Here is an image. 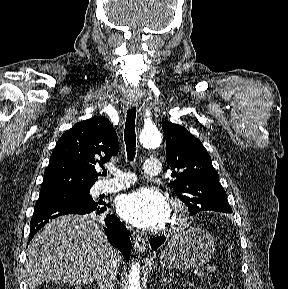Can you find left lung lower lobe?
<instances>
[{
    "instance_id": "obj_1",
    "label": "left lung lower lobe",
    "mask_w": 288,
    "mask_h": 289,
    "mask_svg": "<svg viewBox=\"0 0 288 289\" xmlns=\"http://www.w3.org/2000/svg\"><path fill=\"white\" fill-rule=\"evenodd\" d=\"M165 240L166 238L164 236L153 238L151 241V248L153 250H156L159 246H161L164 243Z\"/></svg>"
}]
</instances>
